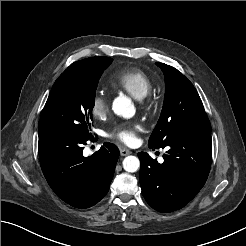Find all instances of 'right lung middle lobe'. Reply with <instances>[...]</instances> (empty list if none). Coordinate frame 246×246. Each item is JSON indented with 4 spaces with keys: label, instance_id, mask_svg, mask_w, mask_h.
<instances>
[{
    "label": "right lung middle lobe",
    "instance_id": "1",
    "mask_svg": "<svg viewBox=\"0 0 246 246\" xmlns=\"http://www.w3.org/2000/svg\"><path fill=\"white\" fill-rule=\"evenodd\" d=\"M112 59L87 58L68 67L55 81L41 113L39 131H64L90 138V124L98 80Z\"/></svg>",
    "mask_w": 246,
    "mask_h": 246
}]
</instances>
